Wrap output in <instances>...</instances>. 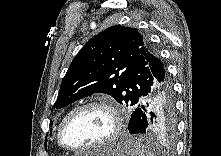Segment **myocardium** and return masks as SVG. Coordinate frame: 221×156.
<instances>
[{
  "label": "myocardium",
  "instance_id": "myocardium-1",
  "mask_svg": "<svg viewBox=\"0 0 221 156\" xmlns=\"http://www.w3.org/2000/svg\"><path fill=\"white\" fill-rule=\"evenodd\" d=\"M102 108L105 109L112 118V129L110 133L101 141H99L96 144L90 145V146H85V147H73L70 146L66 141H65V129L69 123V121L79 112L88 109V108ZM123 126V118L120 113V110L118 107L112 103L111 101L105 100V99H99V100H91L88 102H85L74 109H72L61 121L59 128H58V133H57V140L58 143L60 144L61 147L68 151L72 152H82V151H89L93 149H97L100 147H103L113 140H115L118 135L121 132Z\"/></svg>",
  "mask_w": 221,
  "mask_h": 156
}]
</instances>
